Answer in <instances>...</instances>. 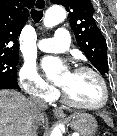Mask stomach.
I'll return each instance as SVG.
<instances>
[{
    "label": "stomach",
    "instance_id": "1",
    "mask_svg": "<svg viewBox=\"0 0 117 136\" xmlns=\"http://www.w3.org/2000/svg\"><path fill=\"white\" fill-rule=\"evenodd\" d=\"M71 128L81 136H92L97 130L95 118L87 113H78L69 118Z\"/></svg>",
    "mask_w": 117,
    "mask_h": 136
}]
</instances>
